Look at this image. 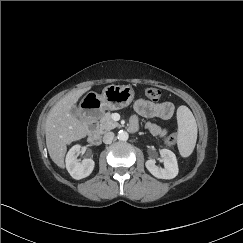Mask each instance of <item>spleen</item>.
<instances>
[{"label":"spleen","instance_id":"obj_1","mask_svg":"<svg viewBox=\"0 0 243 243\" xmlns=\"http://www.w3.org/2000/svg\"><path fill=\"white\" fill-rule=\"evenodd\" d=\"M178 135L177 146L182 157L192 154L197 140L196 120L186 106H179L177 109Z\"/></svg>","mask_w":243,"mask_h":243}]
</instances>
